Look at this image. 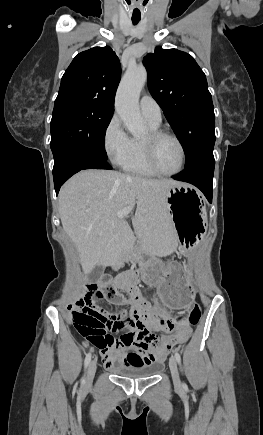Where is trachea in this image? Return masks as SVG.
<instances>
[{
  "mask_svg": "<svg viewBox=\"0 0 263 435\" xmlns=\"http://www.w3.org/2000/svg\"><path fill=\"white\" fill-rule=\"evenodd\" d=\"M139 21H140V20H132V22H133L134 25L138 24Z\"/></svg>",
  "mask_w": 263,
  "mask_h": 435,
  "instance_id": "trachea-1",
  "label": "trachea"
}]
</instances>
